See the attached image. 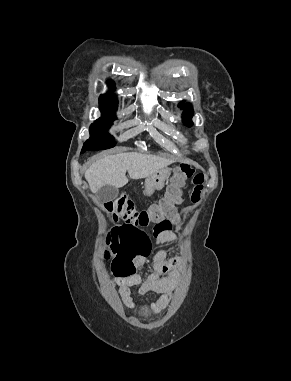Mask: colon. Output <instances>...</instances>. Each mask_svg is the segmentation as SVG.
<instances>
[{
  "label": "colon",
  "mask_w": 291,
  "mask_h": 381,
  "mask_svg": "<svg viewBox=\"0 0 291 381\" xmlns=\"http://www.w3.org/2000/svg\"><path fill=\"white\" fill-rule=\"evenodd\" d=\"M187 178L194 180L191 197L197 201L202 190L199 175L195 174L189 165H183L172 178L164 196L146 208L138 209L135 203L125 196H118L104 204L105 211L114 220L124 221L123 226L112 228L104 237V258L112 259L115 269L128 272L133 270V260L141 253L138 241L146 237V229L150 226L162 230L169 228L167 221L175 214L181 199V187Z\"/></svg>",
  "instance_id": "colon-1"
}]
</instances>
